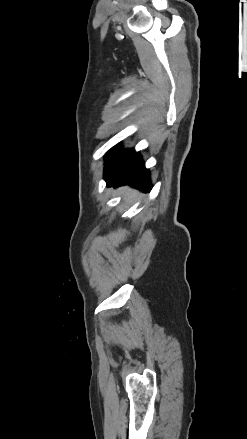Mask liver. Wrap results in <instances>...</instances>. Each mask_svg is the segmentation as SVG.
<instances>
[{
  "instance_id": "obj_1",
  "label": "liver",
  "mask_w": 247,
  "mask_h": 439,
  "mask_svg": "<svg viewBox=\"0 0 247 439\" xmlns=\"http://www.w3.org/2000/svg\"><path fill=\"white\" fill-rule=\"evenodd\" d=\"M134 193H135L134 191H132V192H128L127 195H128L129 197H132V196L134 195Z\"/></svg>"
}]
</instances>
